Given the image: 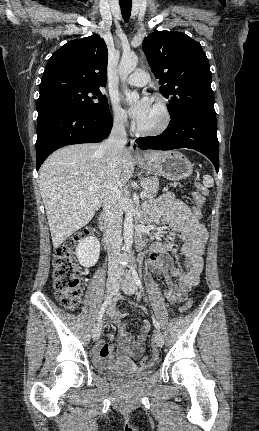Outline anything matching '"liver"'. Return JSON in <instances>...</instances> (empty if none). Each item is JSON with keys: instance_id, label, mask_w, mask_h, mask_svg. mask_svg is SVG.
Listing matches in <instances>:
<instances>
[{"instance_id": "obj_1", "label": "liver", "mask_w": 259, "mask_h": 431, "mask_svg": "<svg viewBox=\"0 0 259 431\" xmlns=\"http://www.w3.org/2000/svg\"><path fill=\"white\" fill-rule=\"evenodd\" d=\"M99 146L90 143L63 147L50 155L40 169V193L55 249L93 218L111 187L118 185L121 190L133 176L129 150H123L120 165L111 173ZM166 153L146 151L143 155L153 163ZM90 187L94 189L90 191Z\"/></svg>"}]
</instances>
